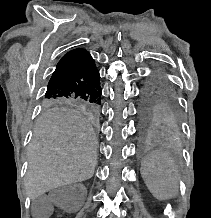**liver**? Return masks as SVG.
I'll list each match as a JSON object with an SVG mask.
<instances>
[{
  "mask_svg": "<svg viewBox=\"0 0 211 218\" xmlns=\"http://www.w3.org/2000/svg\"><path fill=\"white\" fill-rule=\"evenodd\" d=\"M25 178L31 200L66 184L92 178L97 140L91 126L76 110H48L34 128Z\"/></svg>",
  "mask_w": 211,
  "mask_h": 218,
  "instance_id": "obj_1",
  "label": "liver"
}]
</instances>
